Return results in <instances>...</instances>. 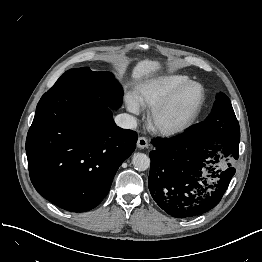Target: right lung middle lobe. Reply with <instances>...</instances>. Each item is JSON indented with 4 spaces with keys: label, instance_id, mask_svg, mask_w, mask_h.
Wrapping results in <instances>:
<instances>
[{
    "label": "right lung middle lobe",
    "instance_id": "dd1d6c3e",
    "mask_svg": "<svg viewBox=\"0 0 262 262\" xmlns=\"http://www.w3.org/2000/svg\"><path fill=\"white\" fill-rule=\"evenodd\" d=\"M80 90L92 93L103 99L109 107L117 109L122 105L123 90L113 74L105 71L94 72L89 67L69 69L48 91L58 93Z\"/></svg>",
    "mask_w": 262,
    "mask_h": 262
}]
</instances>
